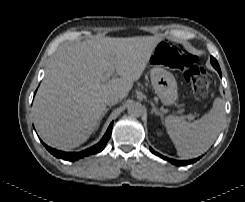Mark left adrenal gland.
Here are the masks:
<instances>
[{
	"label": "left adrenal gland",
	"instance_id": "obj_1",
	"mask_svg": "<svg viewBox=\"0 0 245 202\" xmlns=\"http://www.w3.org/2000/svg\"><path fill=\"white\" fill-rule=\"evenodd\" d=\"M151 106H152L151 114L155 113L157 116L162 117V113L155 107L153 102H151Z\"/></svg>",
	"mask_w": 245,
	"mask_h": 202
}]
</instances>
